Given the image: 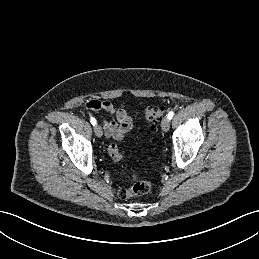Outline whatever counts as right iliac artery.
Here are the masks:
<instances>
[{
  "label": "right iliac artery",
  "instance_id": "obj_1",
  "mask_svg": "<svg viewBox=\"0 0 259 259\" xmlns=\"http://www.w3.org/2000/svg\"><path fill=\"white\" fill-rule=\"evenodd\" d=\"M90 122H91V124L93 125V126H95L96 125V119L95 118H93V117H91L90 118Z\"/></svg>",
  "mask_w": 259,
  "mask_h": 259
}]
</instances>
